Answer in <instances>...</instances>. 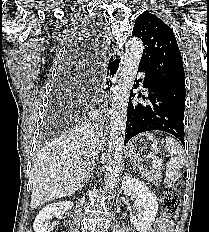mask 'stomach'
Listing matches in <instances>:
<instances>
[{"mask_svg":"<svg viewBox=\"0 0 209 232\" xmlns=\"http://www.w3.org/2000/svg\"><path fill=\"white\" fill-rule=\"evenodd\" d=\"M159 151V141L150 133L139 134L125 146L128 157L138 161L153 158Z\"/></svg>","mask_w":209,"mask_h":232,"instance_id":"obj_1","label":"stomach"}]
</instances>
